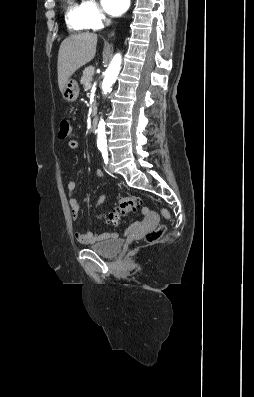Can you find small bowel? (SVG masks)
I'll list each match as a JSON object with an SVG mask.
<instances>
[{
    "mask_svg": "<svg viewBox=\"0 0 254 397\" xmlns=\"http://www.w3.org/2000/svg\"><path fill=\"white\" fill-rule=\"evenodd\" d=\"M68 147L72 151H76L79 148V142L77 140H70L68 142ZM96 176L103 178L105 177L104 173L101 170L96 171ZM77 184L74 181H70L67 185L68 189V194H69V208L71 212V216L73 220H76L78 218V214L81 209V205L78 202V200L74 196V192L76 191ZM107 199V194H102L99 196L97 201L95 202L93 208L97 209L100 205H102L105 200ZM143 214L147 219H150L152 217V213L149 212L148 210H144ZM98 219H105L106 218V213H99L97 214ZM117 237V234L114 232H104L101 234H95L93 232H86V233H81V232H76L75 233V239L81 243V244H94L97 242H101L104 240H110V239H115Z\"/></svg>",
    "mask_w": 254,
    "mask_h": 397,
    "instance_id": "1",
    "label": "small bowel"
}]
</instances>
